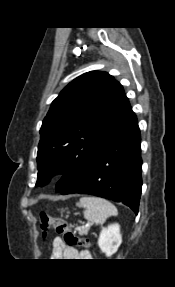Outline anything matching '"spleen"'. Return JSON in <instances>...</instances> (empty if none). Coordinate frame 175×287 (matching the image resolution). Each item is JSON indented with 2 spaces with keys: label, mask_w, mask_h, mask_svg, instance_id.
Returning <instances> with one entry per match:
<instances>
[{
  "label": "spleen",
  "mask_w": 175,
  "mask_h": 287,
  "mask_svg": "<svg viewBox=\"0 0 175 287\" xmlns=\"http://www.w3.org/2000/svg\"><path fill=\"white\" fill-rule=\"evenodd\" d=\"M77 206L85 209L86 220L97 224H103L108 217L118 214L117 208L111 202L100 197L84 196L80 198Z\"/></svg>",
  "instance_id": "spleen-1"
}]
</instances>
